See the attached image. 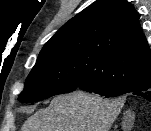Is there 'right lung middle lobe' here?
Returning <instances> with one entry per match:
<instances>
[{"label":"right lung middle lobe","mask_w":151,"mask_h":131,"mask_svg":"<svg viewBox=\"0 0 151 131\" xmlns=\"http://www.w3.org/2000/svg\"><path fill=\"white\" fill-rule=\"evenodd\" d=\"M81 80L106 86L95 59L73 43L62 42L41 50L18 101L32 103L72 92Z\"/></svg>","instance_id":"1"}]
</instances>
